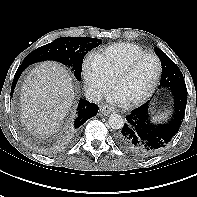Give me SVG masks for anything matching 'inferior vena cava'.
<instances>
[{"label": "inferior vena cava", "mask_w": 197, "mask_h": 197, "mask_svg": "<svg viewBox=\"0 0 197 197\" xmlns=\"http://www.w3.org/2000/svg\"><path fill=\"white\" fill-rule=\"evenodd\" d=\"M84 94L85 98L91 103H100L103 99L102 93L92 88H87Z\"/></svg>", "instance_id": "1"}]
</instances>
